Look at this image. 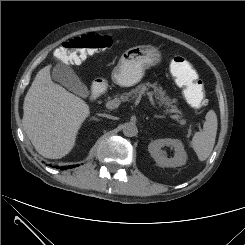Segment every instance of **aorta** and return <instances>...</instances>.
Instances as JSON below:
<instances>
[{"label":"aorta","instance_id":"obj_1","mask_svg":"<svg viewBox=\"0 0 245 245\" xmlns=\"http://www.w3.org/2000/svg\"><path fill=\"white\" fill-rule=\"evenodd\" d=\"M137 126L133 122H127L123 125V134L126 137H133L137 134Z\"/></svg>","mask_w":245,"mask_h":245}]
</instances>
